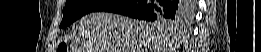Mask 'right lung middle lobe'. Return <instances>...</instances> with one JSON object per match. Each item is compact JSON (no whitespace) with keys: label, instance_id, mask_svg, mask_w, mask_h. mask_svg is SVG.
I'll use <instances>...</instances> for the list:
<instances>
[{"label":"right lung middle lobe","instance_id":"dd1d6c3e","mask_svg":"<svg viewBox=\"0 0 261 52\" xmlns=\"http://www.w3.org/2000/svg\"><path fill=\"white\" fill-rule=\"evenodd\" d=\"M190 2L183 1L185 9L190 10ZM116 3L117 1L115 0H67L63 8V19L60 28L70 25L85 14L103 11ZM156 20V22H161L165 27L170 29H173L176 24H180L182 21L185 22L182 16L174 19L159 18Z\"/></svg>","mask_w":261,"mask_h":52}]
</instances>
